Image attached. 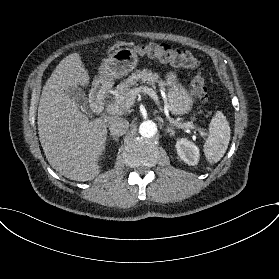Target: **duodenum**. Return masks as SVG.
<instances>
[{
    "label": "duodenum",
    "instance_id": "duodenum-1",
    "mask_svg": "<svg viewBox=\"0 0 279 279\" xmlns=\"http://www.w3.org/2000/svg\"><path fill=\"white\" fill-rule=\"evenodd\" d=\"M104 94H105L104 83L99 81L93 86L90 95V105L92 110L95 113H100L103 110Z\"/></svg>",
    "mask_w": 279,
    "mask_h": 279
}]
</instances>
